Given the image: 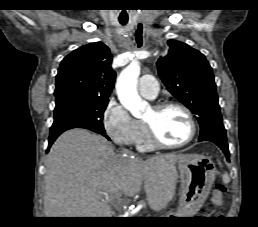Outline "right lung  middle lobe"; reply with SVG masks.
I'll use <instances>...</instances> for the list:
<instances>
[{"mask_svg": "<svg viewBox=\"0 0 258 227\" xmlns=\"http://www.w3.org/2000/svg\"><path fill=\"white\" fill-rule=\"evenodd\" d=\"M54 124H68L104 134L103 113L108 100L94 99L75 94L56 97Z\"/></svg>", "mask_w": 258, "mask_h": 227, "instance_id": "1", "label": "right lung middle lobe"}]
</instances>
